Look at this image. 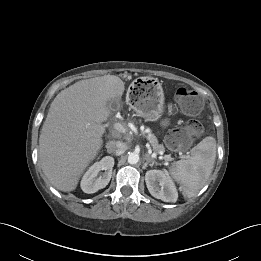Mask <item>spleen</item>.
Instances as JSON below:
<instances>
[{
  "mask_svg": "<svg viewBox=\"0 0 261 261\" xmlns=\"http://www.w3.org/2000/svg\"><path fill=\"white\" fill-rule=\"evenodd\" d=\"M216 158V140L206 137L191 150L187 159L175 162L170 174L177 183L184 197L195 196L205 185L214 168Z\"/></svg>",
  "mask_w": 261,
  "mask_h": 261,
  "instance_id": "1",
  "label": "spleen"
}]
</instances>
